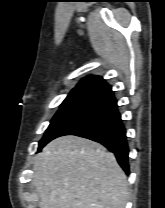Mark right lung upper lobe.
<instances>
[{
	"label": "right lung upper lobe",
	"instance_id": "cb5924a9",
	"mask_svg": "<svg viewBox=\"0 0 165 208\" xmlns=\"http://www.w3.org/2000/svg\"><path fill=\"white\" fill-rule=\"evenodd\" d=\"M113 96L111 86L103 78L88 76L77 84L61 106H87L93 108Z\"/></svg>",
	"mask_w": 165,
	"mask_h": 208
}]
</instances>
